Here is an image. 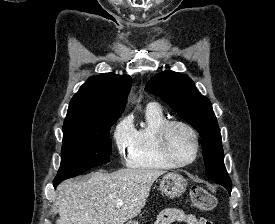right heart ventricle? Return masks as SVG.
Wrapping results in <instances>:
<instances>
[{
    "instance_id": "right-heart-ventricle-1",
    "label": "right heart ventricle",
    "mask_w": 275,
    "mask_h": 224,
    "mask_svg": "<svg viewBox=\"0 0 275 224\" xmlns=\"http://www.w3.org/2000/svg\"><path fill=\"white\" fill-rule=\"evenodd\" d=\"M145 125L135 129L132 146L127 154V165L140 170H169L174 168L162 158L156 144V134L160 126L167 121L158 106H147Z\"/></svg>"
}]
</instances>
